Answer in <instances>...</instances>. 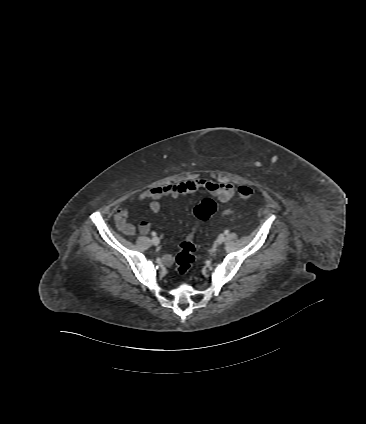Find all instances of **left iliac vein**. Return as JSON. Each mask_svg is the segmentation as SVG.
Instances as JSON below:
<instances>
[{"mask_svg": "<svg viewBox=\"0 0 366 424\" xmlns=\"http://www.w3.org/2000/svg\"><path fill=\"white\" fill-rule=\"evenodd\" d=\"M224 240H225V236H224V234H220V235L218 236V238H217L216 242H217L218 244H222V243L224 242Z\"/></svg>", "mask_w": 366, "mask_h": 424, "instance_id": "left-iliac-vein-1", "label": "left iliac vein"}]
</instances>
